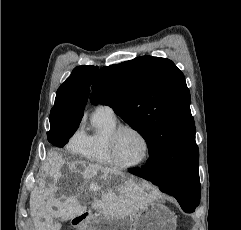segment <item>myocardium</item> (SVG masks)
<instances>
[{
    "instance_id": "1",
    "label": "myocardium",
    "mask_w": 241,
    "mask_h": 230,
    "mask_svg": "<svg viewBox=\"0 0 241 230\" xmlns=\"http://www.w3.org/2000/svg\"><path fill=\"white\" fill-rule=\"evenodd\" d=\"M125 130H130V131L136 133L142 139V141L144 143V147H145L144 155L139 161L134 162V163L121 162L118 160L117 155H116V145H117L118 137ZM107 150H108L109 157L115 166L120 167V168H135V167L142 165L148 159L149 154H150V143H149L147 137L145 136V134L137 127L130 125V124H118L110 132V134L108 136Z\"/></svg>"
}]
</instances>
